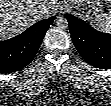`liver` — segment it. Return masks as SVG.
Returning a JSON list of instances; mask_svg holds the SVG:
<instances>
[{"label":"liver","mask_w":111,"mask_h":106,"mask_svg":"<svg viewBox=\"0 0 111 106\" xmlns=\"http://www.w3.org/2000/svg\"><path fill=\"white\" fill-rule=\"evenodd\" d=\"M49 1H0V38L6 40L23 32L28 26L46 17L51 9Z\"/></svg>","instance_id":"obj_1"}]
</instances>
